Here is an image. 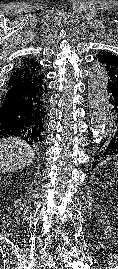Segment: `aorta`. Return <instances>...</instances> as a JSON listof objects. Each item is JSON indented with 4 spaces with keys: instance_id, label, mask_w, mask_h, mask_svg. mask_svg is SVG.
Instances as JSON below:
<instances>
[{
    "instance_id": "762f6f07",
    "label": "aorta",
    "mask_w": 118,
    "mask_h": 269,
    "mask_svg": "<svg viewBox=\"0 0 118 269\" xmlns=\"http://www.w3.org/2000/svg\"><path fill=\"white\" fill-rule=\"evenodd\" d=\"M107 84L108 76L103 65L95 63L89 71L88 102L90 109L91 130L96 142L105 135L107 124Z\"/></svg>"
}]
</instances>
